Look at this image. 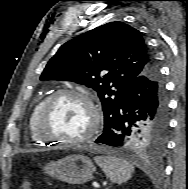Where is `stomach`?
Instances as JSON below:
<instances>
[{"instance_id": "obj_1", "label": "stomach", "mask_w": 188, "mask_h": 189, "mask_svg": "<svg viewBox=\"0 0 188 189\" xmlns=\"http://www.w3.org/2000/svg\"><path fill=\"white\" fill-rule=\"evenodd\" d=\"M46 174L71 184H83L95 171L92 161L83 155H70L44 167Z\"/></svg>"}]
</instances>
